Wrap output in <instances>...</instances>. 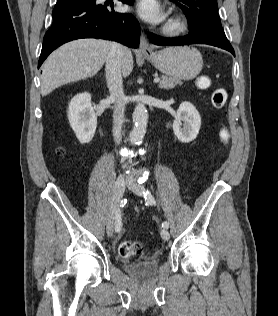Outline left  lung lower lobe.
Returning a JSON list of instances; mask_svg holds the SVG:
<instances>
[{
	"mask_svg": "<svg viewBox=\"0 0 278 316\" xmlns=\"http://www.w3.org/2000/svg\"><path fill=\"white\" fill-rule=\"evenodd\" d=\"M149 39L153 44L162 45V46H175V45H189V44H208L213 45L222 49H225L231 52L235 56L234 49L232 48L230 43H223L216 40L195 36L192 34L178 37V38H164L161 36H157L153 33H149Z\"/></svg>",
	"mask_w": 278,
	"mask_h": 316,
	"instance_id": "left-lung-lower-lobe-1",
	"label": "left lung lower lobe"
}]
</instances>
